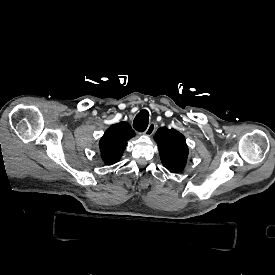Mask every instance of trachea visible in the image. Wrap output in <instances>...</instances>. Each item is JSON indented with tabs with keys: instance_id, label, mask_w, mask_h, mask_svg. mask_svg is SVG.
<instances>
[{
	"instance_id": "obj_1",
	"label": "trachea",
	"mask_w": 275,
	"mask_h": 275,
	"mask_svg": "<svg viewBox=\"0 0 275 275\" xmlns=\"http://www.w3.org/2000/svg\"><path fill=\"white\" fill-rule=\"evenodd\" d=\"M149 124V112L147 110H141L135 117L133 121V127L139 131L143 132L146 130Z\"/></svg>"
}]
</instances>
